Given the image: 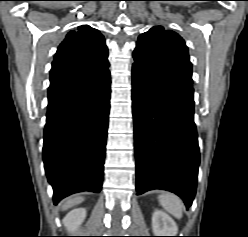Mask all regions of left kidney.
Wrapping results in <instances>:
<instances>
[{"label":"left kidney","mask_w":248,"mask_h":237,"mask_svg":"<svg viewBox=\"0 0 248 237\" xmlns=\"http://www.w3.org/2000/svg\"><path fill=\"white\" fill-rule=\"evenodd\" d=\"M152 229L155 236H176L178 233L174 220L160 210H155L153 213Z\"/></svg>","instance_id":"1"}]
</instances>
